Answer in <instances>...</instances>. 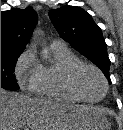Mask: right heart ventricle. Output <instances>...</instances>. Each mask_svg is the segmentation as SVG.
<instances>
[{"label": "right heart ventricle", "instance_id": "obj_1", "mask_svg": "<svg viewBox=\"0 0 123 130\" xmlns=\"http://www.w3.org/2000/svg\"><path fill=\"white\" fill-rule=\"evenodd\" d=\"M46 52L49 58L38 62V75L31 91L60 102H80L66 85V71L71 65L81 62L79 57L66 44L51 43Z\"/></svg>", "mask_w": 123, "mask_h": 130}]
</instances>
